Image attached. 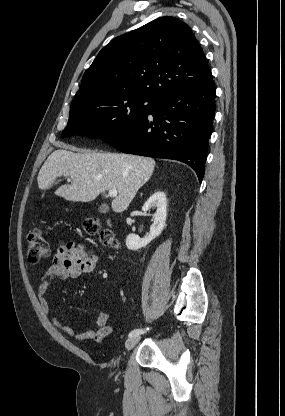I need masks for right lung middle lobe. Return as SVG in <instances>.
I'll list each match as a JSON object with an SVG mask.
<instances>
[{
	"instance_id": "obj_1",
	"label": "right lung middle lobe",
	"mask_w": 285,
	"mask_h": 416,
	"mask_svg": "<svg viewBox=\"0 0 285 416\" xmlns=\"http://www.w3.org/2000/svg\"><path fill=\"white\" fill-rule=\"evenodd\" d=\"M156 105L142 97H122L82 110H70L62 138L81 135L102 140L111 137L140 121Z\"/></svg>"
}]
</instances>
